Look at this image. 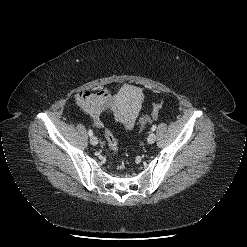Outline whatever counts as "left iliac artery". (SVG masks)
Masks as SVG:
<instances>
[{
    "label": "left iliac artery",
    "mask_w": 247,
    "mask_h": 247,
    "mask_svg": "<svg viewBox=\"0 0 247 247\" xmlns=\"http://www.w3.org/2000/svg\"><path fill=\"white\" fill-rule=\"evenodd\" d=\"M151 130H152V131H155V130H156V124H154V125L151 127Z\"/></svg>",
    "instance_id": "left-iliac-artery-1"
}]
</instances>
